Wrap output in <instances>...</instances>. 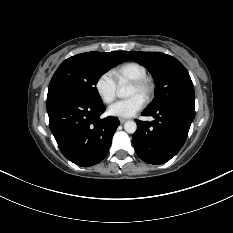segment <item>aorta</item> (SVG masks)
<instances>
[{
  "instance_id": "obj_1",
  "label": "aorta",
  "mask_w": 233,
  "mask_h": 233,
  "mask_svg": "<svg viewBox=\"0 0 233 233\" xmlns=\"http://www.w3.org/2000/svg\"><path fill=\"white\" fill-rule=\"evenodd\" d=\"M131 94V90L128 87H120L117 90V96L120 98H125ZM124 129L127 133H135L137 130V124L133 120L126 121L124 124Z\"/></svg>"
}]
</instances>
